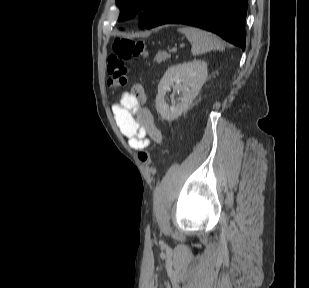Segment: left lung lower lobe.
<instances>
[{
    "label": "left lung lower lobe",
    "instance_id": "0a47b994",
    "mask_svg": "<svg viewBox=\"0 0 309 288\" xmlns=\"http://www.w3.org/2000/svg\"><path fill=\"white\" fill-rule=\"evenodd\" d=\"M247 1L169 0L145 28L169 23L188 24L214 32L244 50Z\"/></svg>",
    "mask_w": 309,
    "mask_h": 288
}]
</instances>
